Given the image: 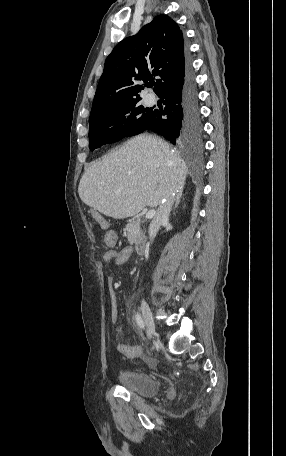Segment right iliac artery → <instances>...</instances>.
I'll use <instances>...</instances> for the list:
<instances>
[{
    "mask_svg": "<svg viewBox=\"0 0 286 456\" xmlns=\"http://www.w3.org/2000/svg\"><path fill=\"white\" fill-rule=\"evenodd\" d=\"M135 319H136V323L138 324V326L141 328V329H145V323L141 317L140 314H136L135 315Z\"/></svg>",
    "mask_w": 286,
    "mask_h": 456,
    "instance_id": "right-iliac-artery-1",
    "label": "right iliac artery"
}]
</instances>
